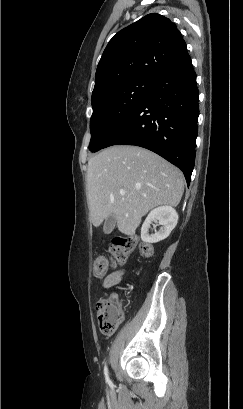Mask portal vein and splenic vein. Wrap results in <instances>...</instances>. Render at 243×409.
I'll return each mask as SVG.
<instances>
[{
  "mask_svg": "<svg viewBox=\"0 0 243 409\" xmlns=\"http://www.w3.org/2000/svg\"><path fill=\"white\" fill-rule=\"evenodd\" d=\"M120 194H121L122 196H124V195L126 194V192H125L124 190H120Z\"/></svg>",
  "mask_w": 243,
  "mask_h": 409,
  "instance_id": "1",
  "label": "portal vein and splenic vein"
}]
</instances>
